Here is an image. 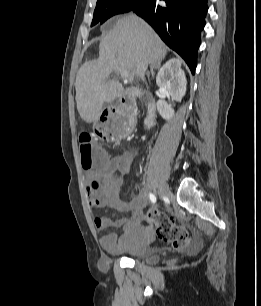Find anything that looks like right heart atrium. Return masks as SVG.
<instances>
[{
    "instance_id": "1",
    "label": "right heart atrium",
    "mask_w": 261,
    "mask_h": 306,
    "mask_svg": "<svg viewBox=\"0 0 261 306\" xmlns=\"http://www.w3.org/2000/svg\"><path fill=\"white\" fill-rule=\"evenodd\" d=\"M119 5H120V8L124 9V8L128 7L129 1L128 0H120Z\"/></svg>"
}]
</instances>
